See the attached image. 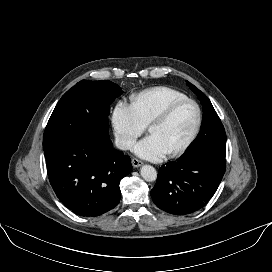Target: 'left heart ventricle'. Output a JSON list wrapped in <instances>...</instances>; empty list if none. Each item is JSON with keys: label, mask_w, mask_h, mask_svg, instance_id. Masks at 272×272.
<instances>
[{"label": "left heart ventricle", "mask_w": 272, "mask_h": 272, "mask_svg": "<svg viewBox=\"0 0 272 272\" xmlns=\"http://www.w3.org/2000/svg\"><path fill=\"white\" fill-rule=\"evenodd\" d=\"M196 123V110L193 105L179 107L165 122L152 126L150 136H155L165 152L180 147L191 135Z\"/></svg>", "instance_id": "left-heart-ventricle-1"}]
</instances>
